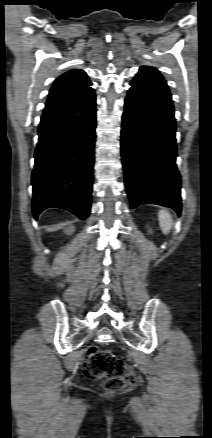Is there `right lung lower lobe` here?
Listing matches in <instances>:
<instances>
[{"mask_svg": "<svg viewBox=\"0 0 212 438\" xmlns=\"http://www.w3.org/2000/svg\"><path fill=\"white\" fill-rule=\"evenodd\" d=\"M95 128V94L44 109L32 172L35 218L48 208L68 210L80 219L89 216Z\"/></svg>", "mask_w": 212, "mask_h": 438, "instance_id": "1", "label": "right lung lower lobe"}]
</instances>
